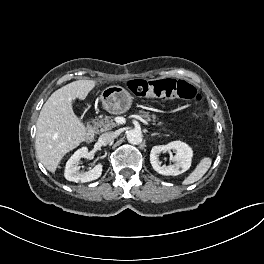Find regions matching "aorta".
Returning a JSON list of instances; mask_svg holds the SVG:
<instances>
[{
	"label": "aorta",
	"instance_id": "aorta-1",
	"mask_svg": "<svg viewBox=\"0 0 264 264\" xmlns=\"http://www.w3.org/2000/svg\"><path fill=\"white\" fill-rule=\"evenodd\" d=\"M142 132L138 129L129 130L127 133V140L133 145H138L142 142Z\"/></svg>",
	"mask_w": 264,
	"mask_h": 264
}]
</instances>
